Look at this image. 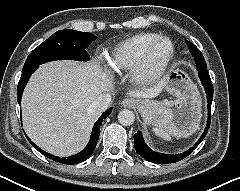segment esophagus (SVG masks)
I'll use <instances>...</instances> for the list:
<instances>
[{"instance_id": "1", "label": "esophagus", "mask_w": 240, "mask_h": 191, "mask_svg": "<svg viewBox=\"0 0 240 191\" xmlns=\"http://www.w3.org/2000/svg\"><path fill=\"white\" fill-rule=\"evenodd\" d=\"M122 105L128 108H135L137 105V100L134 98H126L122 101Z\"/></svg>"}]
</instances>
